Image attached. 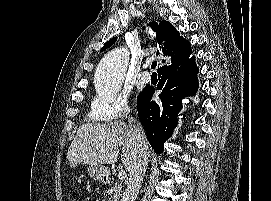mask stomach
<instances>
[{
    "label": "stomach",
    "mask_w": 271,
    "mask_h": 201,
    "mask_svg": "<svg viewBox=\"0 0 271 201\" xmlns=\"http://www.w3.org/2000/svg\"><path fill=\"white\" fill-rule=\"evenodd\" d=\"M89 176L95 181H101L105 178L106 168L101 165H90L87 168Z\"/></svg>",
    "instance_id": "1"
}]
</instances>
